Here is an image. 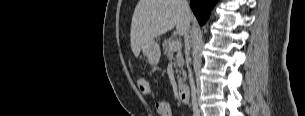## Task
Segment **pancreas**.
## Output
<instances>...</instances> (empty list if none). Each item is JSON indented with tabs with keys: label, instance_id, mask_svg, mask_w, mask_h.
Segmentation results:
<instances>
[{
	"label": "pancreas",
	"instance_id": "obj_1",
	"mask_svg": "<svg viewBox=\"0 0 305 116\" xmlns=\"http://www.w3.org/2000/svg\"><path fill=\"white\" fill-rule=\"evenodd\" d=\"M174 42L173 39L169 38V39H165L163 41V50H164V54L166 55V57L169 59V58H172L175 62H174V66L175 67H178L182 70V66L184 64V59H183V55L181 53L180 50L176 51V55L175 57L173 58V51H171V45L172 43ZM181 70H179L181 72ZM182 78L181 77H178V83L179 85L182 83Z\"/></svg>",
	"mask_w": 305,
	"mask_h": 116
}]
</instances>
